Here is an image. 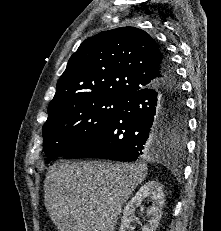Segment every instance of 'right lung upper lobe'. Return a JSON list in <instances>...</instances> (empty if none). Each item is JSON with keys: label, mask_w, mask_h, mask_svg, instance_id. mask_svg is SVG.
Instances as JSON below:
<instances>
[{"label": "right lung upper lobe", "mask_w": 221, "mask_h": 231, "mask_svg": "<svg viewBox=\"0 0 221 231\" xmlns=\"http://www.w3.org/2000/svg\"><path fill=\"white\" fill-rule=\"evenodd\" d=\"M163 50L145 31L122 27L84 40L57 82L48 115L90 96L128 98L162 79Z\"/></svg>", "instance_id": "cb5924a9"}]
</instances>
